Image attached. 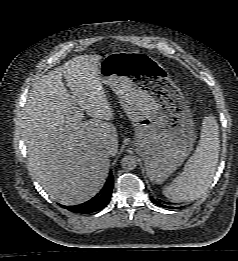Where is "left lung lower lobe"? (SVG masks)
Returning <instances> with one entry per match:
<instances>
[{
    "label": "left lung lower lobe",
    "instance_id": "obj_1",
    "mask_svg": "<svg viewBox=\"0 0 238 261\" xmlns=\"http://www.w3.org/2000/svg\"><path fill=\"white\" fill-rule=\"evenodd\" d=\"M152 202L160 207H164V208H172V207H169V206H166V205H163L161 204L159 201H156L152 198Z\"/></svg>",
    "mask_w": 238,
    "mask_h": 261
}]
</instances>
